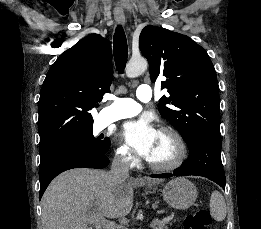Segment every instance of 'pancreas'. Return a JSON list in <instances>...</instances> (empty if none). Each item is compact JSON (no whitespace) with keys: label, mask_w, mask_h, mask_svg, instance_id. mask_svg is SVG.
<instances>
[{"label":"pancreas","mask_w":261,"mask_h":229,"mask_svg":"<svg viewBox=\"0 0 261 229\" xmlns=\"http://www.w3.org/2000/svg\"><path fill=\"white\" fill-rule=\"evenodd\" d=\"M157 221V224L154 225L153 229H168L169 221H158V219H155Z\"/></svg>","instance_id":"1"}]
</instances>
